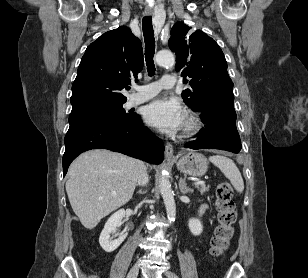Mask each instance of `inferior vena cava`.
I'll return each instance as SVG.
<instances>
[{
    "label": "inferior vena cava",
    "mask_w": 308,
    "mask_h": 278,
    "mask_svg": "<svg viewBox=\"0 0 308 278\" xmlns=\"http://www.w3.org/2000/svg\"><path fill=\"white\" fill-rule=\"evenodd\" d=\"M148 181H149V176L147 174L146 167L144 166L142 172L138 176V184L146 185Z\"/></svg>",
    "instance_id": "obj_1"
}]
</instances>
